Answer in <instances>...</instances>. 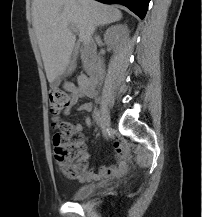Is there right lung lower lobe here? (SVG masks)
I'll return each instance as SVG.
<instances>
[{
	"mask_svg": "<svg viewBox=\"0 0 202 217\" xmlns=\"http://www.w3.org/2000/svg\"><path fill=\"white\" fill-rule=\"evenodd\" d=\"M105 4H122L141 19L144 18L150 0H97Z\"/></svg>",
	"mask_w": 202,
	"mask_h": 217,
	"instance_id": "right-lung-lower-lobe-1",
	"label": "right lung lower lobe"
}]
</instances>
